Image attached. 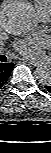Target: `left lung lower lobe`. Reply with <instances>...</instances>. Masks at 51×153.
Returning <instances> with one entry per match:
<instances>
[{
    "label": "left lung lower lobe",
    "instance_id": "0a47b994",
    "mask_svg": "<svg viewBox=\"0 0 51 153\" xmlns=\"http://www.w3.org/2000/svg\"><path fill=\"white\" fill-rule=\"evenodd\" d=\"M45 87H46V89L51 93V85L45 86Z\"/></svg>",
    "mask_w": 51,
    "mask_h": 153
}]
</instances>
